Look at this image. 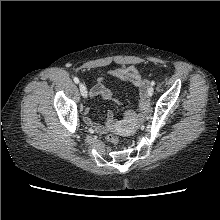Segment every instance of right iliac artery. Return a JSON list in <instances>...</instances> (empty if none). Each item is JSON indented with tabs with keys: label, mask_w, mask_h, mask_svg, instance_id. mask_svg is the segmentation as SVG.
<instances>
[{
	"label": "right iliac artery",
	"mask_w": 220,
	"mask_h": 220,
	"mask_svg": "<svg viewBox=\"0 0 220 220\" xmlns=\"http://www.w3.org/2000/svg\"><path fill=\"white\" fill-rule=\"evenodd\" d=\"M73 80H74L75 83H77V84L79 83V79L77 77H74Z\"/></svg>",
	"instance_id": "right-iliac-artery-1"
}]
</instances>
